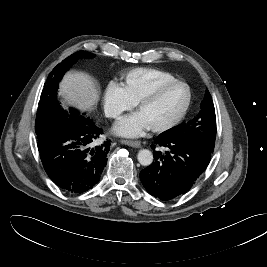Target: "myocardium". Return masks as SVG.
Instances as JSON below:
<instances>
[{
	"label": "myocardium",
	"instance_id": "myocardium-1",
	"mask_svg": "<svg viewBox=\"0 0 267 267\" xmlns=\"http://www.w3.org/2000/svg\"><path fill=\"white\" fill-rule=\"evenodd\" d=\"M173 85H182L186 88L187 99H186L185 105H184L183 109L180 111V113L176 117H174L172 120L167 121V122L162 123V124H159V125H156V126L150 127V130L153 132L161 133V132L168 131V130L178 126L185 119V117L187 116V114L190 110L191 104H192V91H191L190 86L188 85V83H186L185 81L180 80V79H173L170 81H166V82L159 84L154 89H152L151 91H149L148 93L143 95L136 103V108H137V110H139L144 104L153 101L166 88L173 86Z\"/></svg>",
	"mask_w": 267,
	"mask_h": 267
}]
</instances>
